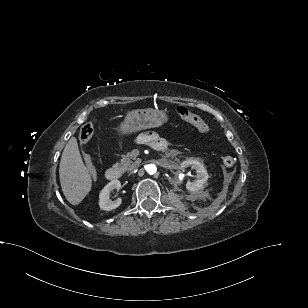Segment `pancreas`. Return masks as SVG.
<instances>
[{
  "mask_svg": "<svg viewBox=\"0 0 308 308\" xmlns=\"http://www.w3.org/2000/svg\"><path fill=\"white\" fill-rule=\"evenodd\" d=\"M132 157L131 153H127L126 155L122 156L120 163H116L115 166L119 167L122 171H131L137 167L139 164V160H135Z\"/></svg>",
  "mask_w": 308,
  "mask_h": 308,
  "instance_id": "cf45deb5",
  "label": "pancreas"
}]
</instances>
